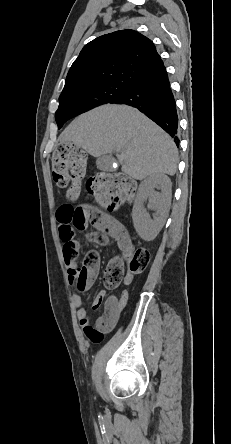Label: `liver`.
I'll use <instances>...</instances> for the list:
<instances>
[{
  "instance_id": "liver-1",
  "label": "liver",
  "mask_w": 231,
  "mask_h": 444,
  "mask_svg": "<svg viewBox=\"0 0 231 444\" xmlns=\"http://www.w3.org/2000/svg\"><path fill=\"white\" fill-rule=\"evenodd\" d=\"M93 157L116 152L122 171L137 180L173 176L178 150L172 138L137 109L106 104L75 118L60 135Z\"/></svg>"
}]
</instances>
